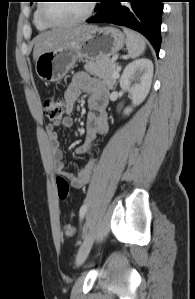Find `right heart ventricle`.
<instances>
[{"mask_svg": "<svg viewBox=\"0 0 195 299\" xmlns=\"http://www.w3.org/2000/svg\"><path fill=\"white\" fill-rule=\"evenodd\" d=\"M41 3H38L35 10H34V13H33V22H34V25L36 26V28L38 30H41V31H44V30H47L49 29L51 26H49L48 24H46L40 17V14H39V6H40Z\"/></svg>", "mask_w": 195, "mask_h": 299, "instance_id": "1", "label": "right heart ventricle"}]
</instances>
